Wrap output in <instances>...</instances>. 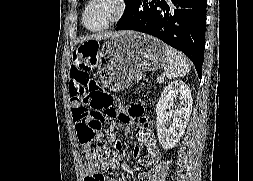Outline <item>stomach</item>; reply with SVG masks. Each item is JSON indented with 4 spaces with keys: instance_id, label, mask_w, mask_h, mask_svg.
Segmentation results:
<instances>
[{
    "instance_id": "stomach-1",
    "label": "stomach",
    "mask_w": 253,
    "mask_h": 181,
    "mask_svg": "<svg viewBox=\"0 0 253 181\" xmlns=\"http://www.w3.org/2000/svg\"><path fill=\"white\" fill-rule=\"evenodd\" d=\"M165 47L159 39L134 31H123L109 38L99 53L102 84L112 91L136 84L144 72L165 65Z\"/></svg>"
}]
</instances>
